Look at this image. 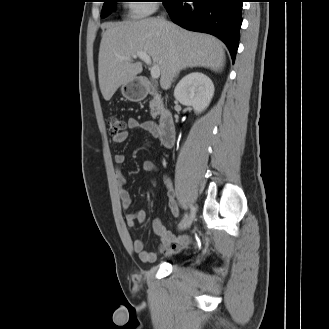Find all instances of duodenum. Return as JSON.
Wrapping results in <instances>:
<instances>
[{"label": "duodenum", "mask_w": 329, "mask_h": 329, "mask_svg": "<svg viewBox=\"0 0 329 329\" xmlns=\"http://www.w3.org/2000/svg\"><path fill=\"white\" fill-rule=\"evenodd\" d=\"M146 91L149 94H156L155 88L147 79ZM159 137L163 146L170 148L175 143L176 130L173 115L170 111L162 110L159 116Z\"/></svg>", "instance_id": "1"}]
</instances>
